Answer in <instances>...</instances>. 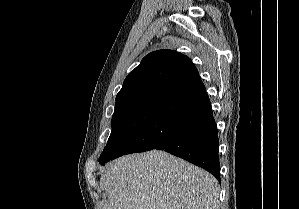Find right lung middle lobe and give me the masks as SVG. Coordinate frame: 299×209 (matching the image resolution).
<instances>
[{
    "instance_id": "obj_1",
    "label": "right lung middle lobe",
    "mask_w": 299,
    "mask_h": 209,
    "mask_svg": "<svg viewBox=\"0 0 299 209\" xmlns=\"http://www.w3.org/2000/svg\"><path fill=\"white\" fill-rule=\"evenodd\" d=\"M161 103L140 102L134 105L115 107L112 131L106 147L99 158L100 164L114 158L141 130Z\"/></svg>"
}]
</instances>
